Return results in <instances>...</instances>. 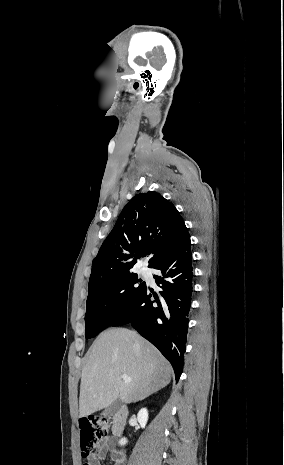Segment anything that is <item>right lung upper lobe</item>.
Segmentation results:
<instances>
[{
  "instance_id": "cb5924a9",
  "label": "right lung upper lobe",
  "mask_w": 284,
  "mask_h": 465,
  "mask_svg": "<svg viewBox=\"0 0 284 465\" xmlns=\"http://www.w3.org/2000/svg\"><path fill=\"white\" fill-rule=\"evenodd\" d=\"M189 239L175 206L157 192L135 195L119 216L92 262L89 290L128 276L137 258L151 254L148 267L179 249Z\"/></svg>"
}]
</instances>
